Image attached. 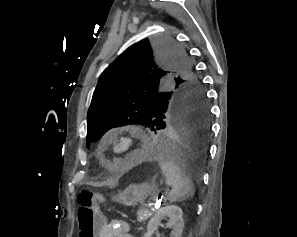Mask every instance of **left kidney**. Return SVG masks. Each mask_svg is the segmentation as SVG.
<instances>
[{
  "label": "left kidney",
  "mask_w": 297,
  "mask_h": 237,
  "mask_svg": "<svg viewBox=\"0 0 297 237\" xmlns=\"http://www.w3.org/2000/svg\"><path fill=\"white\" fill-rule=\"evenodd\" d=\"M169 218L167 228H172L171 237H181L184 229L182 209L175 205L159 208L147 224V232L143 237H153L162 219Z\"/></svg>",
  "instance_id": "left-kidney-1"
}]
</instances>
